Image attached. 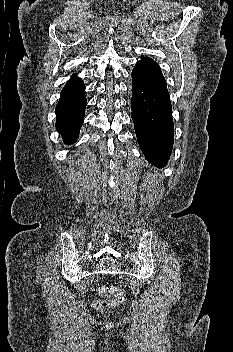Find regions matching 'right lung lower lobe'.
<instances>
[{
    "label": "right lung lower lobe",
    "instance_id": "obj_1",
    "mask_svg": "<svg viewBox=\"0 0 233 352\" xmlns=\"http://www.w3.org/2000/svg\"><path fill=\"white\" fill-rule=\"evenodd\" d=\"M85 107L84 83L73 76L61 91V97L55 109L56 129L68 145L76 142L79 136Z\"/></svg>",
    "mask_w": 233,
    "mask_h": 352
}]
</instances>
